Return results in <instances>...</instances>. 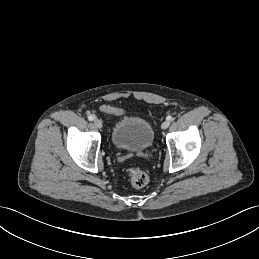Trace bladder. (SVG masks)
<instances>
[{
    "instance_id": "obj_1",
    "label": "bladder",
    "mask_w": 259,
    "mask_h": 259,
    "mask_svg": "<svg viewBox=\"0 0 259 259\" xmlns=\"http://www.w3.org/2000/svg\"><path fill=\"white\" fill-rule=\"evenodd\" d=\"M111 139L118 149L142 152L152 145L154 133L151 124L144 118L123 116L115 123Z\"/></svg>"
}]
</instances>
